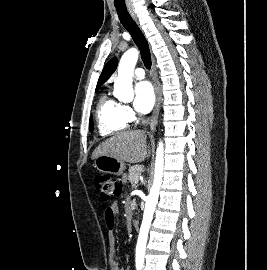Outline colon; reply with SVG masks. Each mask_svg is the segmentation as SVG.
I'll list each match as a JSON object with an SVG mask.
<instances>
[{
  "instance_id": "obj_1",
  "label": "colon",
  "mask_w": 267,
  "mask_h": 270,
  "mask_svg": "<svg viewBox=\"0 0 267 270\" xmlns=\"http://www.w3.org/2000/svg\"><path fill=\"white\" fill-rule=\"evenodd\" d=\"M94 185L102 201L107 202L121 192V184L108 174H98L94 178Z\"/></svg>"
}]
</instances>
